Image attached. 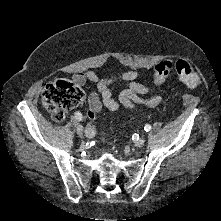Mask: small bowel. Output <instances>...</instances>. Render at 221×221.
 I'll list each match as a JSON object with an SVG mask.
<instances>
[{"label": "small bowel", "mask_w": 221, "mask_h": 221, "mask_svg": "<svg viewBox=\"0 0 221 221\" xmlns=\"http://www.w3.org/2000/svg\"><path fill=\"white\" fill-rule=\"evenodd\" d=\"M139 72L135 70L126 71L111 78H101L94 71L76 73L73 80L83 85L86 81H92L97 85V91H92L88 95V104L91 110L100 112L105 107L110 112H116L120 106L127 109H134L138 105L154 107L162 101L158 94H151V89L136 79ZM117 82H125L126 87L119 94L118 100L112 95L111 86Z\"/></svg>", "instance_id": "small-bowel-1"}]
</instances>
